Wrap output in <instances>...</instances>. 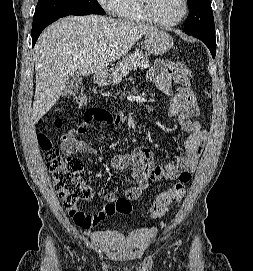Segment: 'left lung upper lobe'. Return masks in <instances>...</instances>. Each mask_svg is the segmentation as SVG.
I'll list each match as a JSON object with an SVG mask.
<instances>
[{
	"label": "left lung upper lobe",
	"mask_w": 253,
	"mask_h": 271,
	"mask_svg": "<svg viewBox=\"0 0 253 271\" xmlns=\"http://www.w3.org/2000/svg\"><path fill=\"white\" fill-rule=\"evenodd\" d=\"M189 15L184 25L186 34L215 35L214 18L210 0H187Z\"/></svg>",
	"instance_id": "5c2ea615"
}]
</instances>
